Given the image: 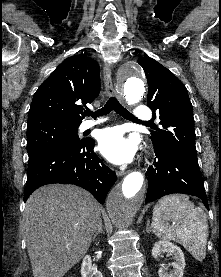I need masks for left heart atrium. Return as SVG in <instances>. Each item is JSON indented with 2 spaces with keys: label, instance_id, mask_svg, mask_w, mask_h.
Instances as JSON below:
<instances>
[{
  "label": "left heart atrium",
  "instance_id": "obj_1",
  "mask_svg": "<svg viewBox=\"0 0 221 277\" xmlns=\"http://www.w3.org/2000/svg\"><path fill=\"white\" fill-rule=\"evenodd\" d=\"M98 146L103 156L114 164L128 163L138 150L134 137H127L121 127H110L100 131Z\"/></svg>",
  "mask_w": 221,
  "mask_h": 277
}]
</instances>
